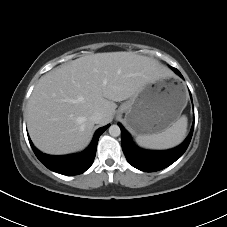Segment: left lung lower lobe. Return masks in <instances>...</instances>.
Segmentation results:
<instances>
[{
	"instance_id": "1",
	"label": "left lung lower lobe",
	"mask_w": 227,
	"mask_h": 227,
	"mask_svg": "<svg viewBox=\"0 0 227 227\" xmlns=\"http://www.w3.org/2000/svg\"><path fill=\"white\" fill-rule=\"evenodd\" d=\"M171 68L183 78L181 73L176 68ZM119 126L121 128V145L128 162L133 167L144 172L159 171L168 167L177 159H179L188 148L194 129L193 123L190 134L188 135L186 140L178 147L166 151H150L140 149L135 146L131 140L129 133L121 124H119Z\"/></svg>"
}]
</instances>
